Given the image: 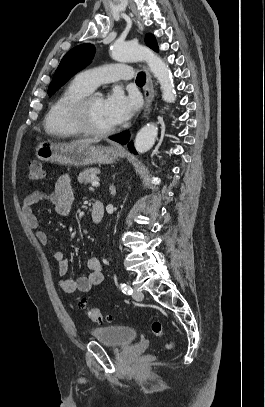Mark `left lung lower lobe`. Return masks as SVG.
Returning <instances> with one entry per match:
<instances>
[{
    "label": "left lung lower lobe",
    "instance_id": "left-lung-lower-lobe-1",
    "mask_svg": "<svg viewBox=\"0 0 265 407\" xmlns=\"http://www.w3.org/2000/svg\"><path fill=\"white\" fill-rule=\"evenodd\" d=\"M129 137H130L129 132H128V131H125V132H123V133H121V134L112 136L110 139H111V140H114V141H116V142H119V143H121V144H126V143L128 142V140H129ZM128 148H129V150H130L131 152L136 153V151H135V149H134V147H133V144H132L131 142L128 144Z\"/></svg>",
    "mask_w": 265,
    "mask_h": 407
}]
</instances>
